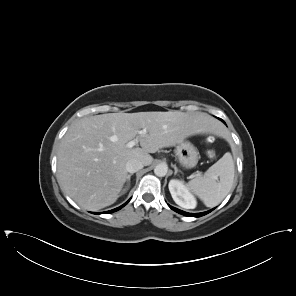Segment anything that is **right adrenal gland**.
Masks as SVG:
<instances>
[{
	"mask_svg": "<svg viewBox=\"0 0 296 296\" xmlns=\"http://www.w3.org/2000/svg\"><path fill=\"white\" fill-rule=\"evenodd\" d=\"M133 175V173L129 174L128 175V178H127V187L130 186V179H131V176Z\"/></svg>",
	"mask_w": 296,
	"mask_h": 296,
	"instance_id": "2a0ac1e0",
	"label": "right adrenal gland"
}]
</instances>
